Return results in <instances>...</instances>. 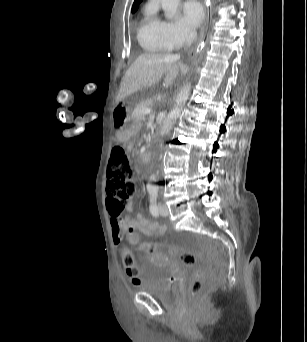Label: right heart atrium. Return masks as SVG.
<instances>
[{
    "label": "right heart atrium",
    "instance_id": "obj_1",
    "mask_svg": "<svg viewBox=\"0 0 307 342\" xmlns=\"http://www.w3.org/2000/svg\"><path fill=\"white\" fill-rule=\"evenodd\" d=\"M156 32L170 47H179L181 39L184 36V30L177 23H163L157 21L155 23Z\"/></svg>",
    "mask_w": 307,
    "mask_h": 342
}]
</instances>
